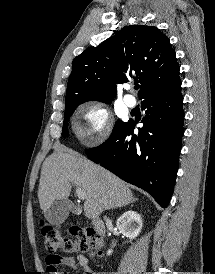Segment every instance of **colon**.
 I'll use <instances>...</instances> for the list:
<instances>
[{"mask_svg":"<svg viewBox=\"0 0 215 274\" xmlns=\"http://www.w3.org/2000/svg\"><path fill=\"white\" fill-rule=\"evenodd\" d=\"M40 228L45 248L50 253L62 250L64 252L88 251L97 254L101 248V238L92 228L74 227L70 230L71 238L45 222H41Z\"/></svg>","mask_w":215,"mask_h":274,"instance_id":"1","label":"colon"}]
</instances>
